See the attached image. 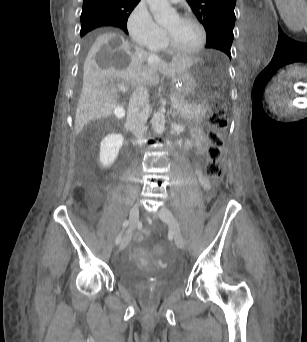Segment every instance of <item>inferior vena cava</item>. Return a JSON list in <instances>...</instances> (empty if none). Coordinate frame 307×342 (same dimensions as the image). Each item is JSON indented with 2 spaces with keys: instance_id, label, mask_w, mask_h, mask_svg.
I'll return each mask as SVG.
<instances>
[{
  "instance_id": "inferior-vena-cava-1",
  "label": "inferior vena cava",
  "mask_w": 307,
  "mask_h": 342,
  "mask_svg": "<svg viewBox=\"0 0 307 342\" xmlns=\"http://www.w3.org/2000/svg\"><path fill=\"white\" fill-rule=\"evenodd\" d=\"M149 92L145 86L136 88L131 94L128 104L127 118L125 128L130 130L136 136L138 142H143L145 124L148 118Z\"/></svg>"
}]
</instances>
